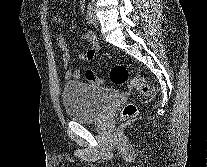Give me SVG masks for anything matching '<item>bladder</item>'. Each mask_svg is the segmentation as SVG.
Segmentation results:
<instances>
[{"instance_id": "31cf9c89", "label": "bladder", "mask_w": 207, "mask_h": 167, "mask_svg": "<svg viewBox=\"0 0 207 167\" xmlns=\"http://www.w3.org/2000/svg\"><path fill=\"white\" fill-rule=\"evenodd\" d=\"M119 97L114 89L96 87L82 81H68L62 90V102L67 115L80 123L100 119Z\"/></svg>"}]
</instances>
